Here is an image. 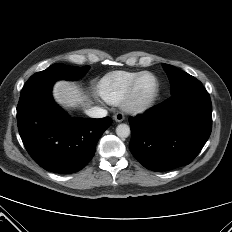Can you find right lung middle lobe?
<instances>
[{
  "instance_id": "obj_1",
  "label": "right lung middle lobe",
  "mask_w": 232,
  "mask_h": 232,
  "mask_svg": "<svg viewBox=\"0 0 232 232\" xmlns=\"http://www.w3.org/2000/svg\"><path fill=\"white\" fill-rule=\"evenodd\" d=\"M88 68V66L73 67L64 64H53L46 70L32 75L24 85L21 93L40 85L54 83L58 79L74 80L81 78Z\"/></svg>"
}]
</instances>
